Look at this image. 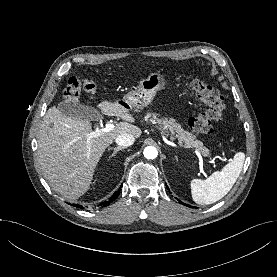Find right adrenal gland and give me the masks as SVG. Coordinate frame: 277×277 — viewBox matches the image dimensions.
<instances>
[{
    "mask_svg": "<svg viewBox=\"0 0 277 277\" xmlns=\"http://www.w3.org/2000/svg\"><path fill=\"white\" fill-rule=\"evenodd\" d=\"M122 149H125L124 147H116V148H109L108 150H113V153L108 157V160H110L111 157L115 156L116 153Z\"/></svg>",
    "mask_w": 277,
    "mask_h": 277,
    "instance_id": "right-adrenal-gland-1",
    "label": "right adrenal gland"
}]
</instances>
